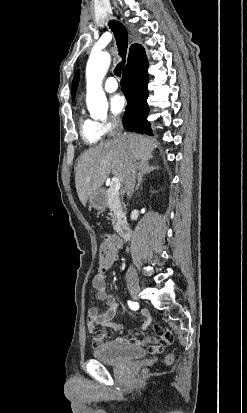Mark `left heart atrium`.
Listing matches in <instances>:
<instances>
[{
	"instance_id": "obj_1",
	"label": "left heart atrium",
	"mask_w": 247,
	"mask_h": 413,
	"mask_svg": "<svg viewBox=\"0 0 247 413\" xmlns=\"http://www.w3.org/2000/svg\"><path fill=\"white\" fill-rule=\"evenodd\" d=\"M109 104L111 111L115 114H119L125 109V100L120 94L111 96Z\"/></svg>"
}]
</instances>
